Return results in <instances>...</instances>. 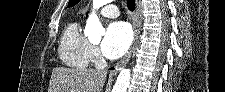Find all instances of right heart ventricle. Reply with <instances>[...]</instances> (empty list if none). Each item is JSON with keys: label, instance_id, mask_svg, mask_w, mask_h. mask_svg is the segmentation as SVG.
<instances>
[{"label": "right heart ventricle", "instance_id": "right-heart-ventricle-1", "mask_svg": "<svg viewBox=\"0 0 225 92\" xmlns=\"http://www.w3.org/2000/svg\"><path fill=\"white\" fill-rule=\"evenodd\" d=\"M92 44L80 32L77 21L70 22L64 29L60 44L59 57L67 66L85 69L91 57Z\"/></svg>", "mask_w": 225, "mask_h": 92}]
</instances>
